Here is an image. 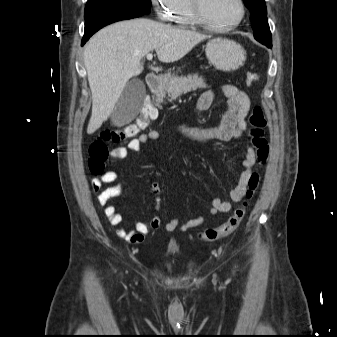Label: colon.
<instances>
[{
  "label": "colon",
  "instance_id": "5ec220e1",
  "mask_svg": "<svg viewBox=\"0 0 337 337\" xmlns=\"http://www.w3.org/2000/svg\"><path fill=\"white\" fill-rule=\"evenodd\" d=\"M246 81L249 86H255L259 82V76L254 72H248L246 74ZM154 106V96H147L146 100H140V107H143V109L136 122L122 128L104 130L90 143L88 148V166L93 174H99L103 170L104 163L108 158L107 143L133 138L142 130L149 127L151 119L158 118V113ZM249 123L251 126L249 132L251 143L256 152L258 165L262 167L266 164L269 157V142L264 134L266 118L261 107L255 106L252 108L249 115ZM259 182V172L252 173L248 180L246 199L242 205L236 208L228 219L219 226L207 228L200 232L199 239L203 242H211L232 234L245 218L249 200L254 196Z\"/></svg>",
  "mask_w": 337,
  "mask_h": 337
}]
</instances>
